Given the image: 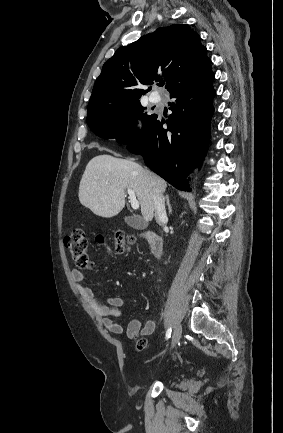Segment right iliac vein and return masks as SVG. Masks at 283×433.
Returning a JSON list of instances; mask_svg holds the SVG:
<instances>
[{"label":"right iliac vein","mask_w":283,"mask_h":433,"mask_svg":"<svg viewBox=\"0 0 283 433\" xmlns=\"http://www.w3.org/2000/svg\"><path fill=\"white\" fill-rule=\"evenodd\" d=\"M181 332H182L181 331V325L177 324L174 328L173 335H172L171 349L174 348L178 344V342L181 338Z\"/></svg>","instance_id":"1"}]
</instances>
